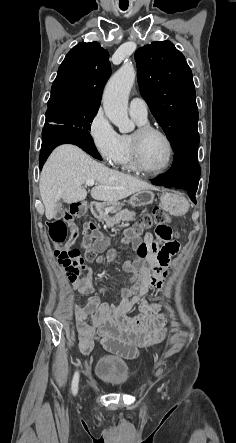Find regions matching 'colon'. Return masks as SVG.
Returning a JSON list of instances; mask_svg holds the SVG:
<instances>
[{"mask_svg": "<svg viewBox=\"0 0 236 443\" xmlns=\"http://www.w3.org/2000/svg\"><path fill=\"white\" fill-rule=\"evenodd\" d=\"M85 213V205L75 202L67 208L63 218L55 219L47 223L49 238L58 246L56 251L58 260L77 269H80L85 261L91 262L97 259L96 251L91 245V239L86 236L82 239V247L75 246L74 244L79 237V231L77 228H69L68 226V222L84 216ZM170 222L171 217L163 208H155L151 213L146 214L139 223L134 225L130 232V237H139L144 230L155 226L158 237L168 242L165 248L173 253L178 247L171 240L173 231ZM95 229L96 226L93 223L86 225V230L93 231ZM170 241L172 242L170 243ZM148 253V248L141 246L137 254L140 259H144ZM136 268L137 266H134L133 269Z\"/></svg>", "mask_w": 236, "mask_h": 443, "instance_id": "5ec220e1", "label": "colon"}]
</instances>
